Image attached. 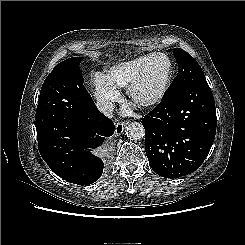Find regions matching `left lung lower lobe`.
Segmentation results:
<instances>
[{"label":"left lung lower lobe","instance_id":"left-lung-lower-lobe-1","mask_svg":"<svg viewBox=\"0 0 245 245\" xmlns=\"http://www.w3.org/2000/svg\"><path fill=\"white\" fill-rule=\"evenodd\" d=\"M150 167L160 176L177 178L197 170L216 133V109L207 81L172 94L142 119Z\"/></svg>","mask_w":245,"mask_h":245}]
</instances>
